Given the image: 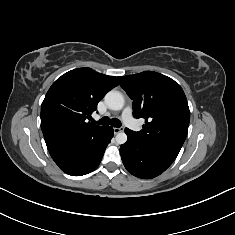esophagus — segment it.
<instances>
[{
  "mask_svg": "<svg viewBox=\"0 0 235 235\" xmlns=\"http://www.w3.org/2000/svg\"><path fill=\"white\" fill-rule=\"evenodd\" d=\"M113 131H114V134H118L119 132L123 131V128L120 127V128H113Z\"/></svg>",
  "mask_w": 235,
  "mask_h": 235,
  "instance_id": "esophagus-1",
  "label": "esophagus"
}]
</instances>
